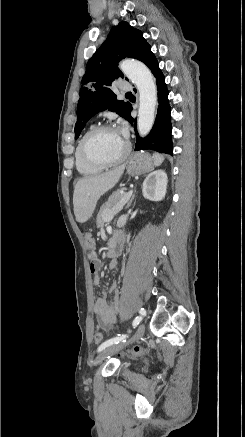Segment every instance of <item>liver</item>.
Here are the masks:
<instances>
[{
	"label": "liver",
	"mask_w": 245,
	"mask_h": 437,
	"mask_svg": "<svg viewBox=\"0 0 245 437\" xmlns=\"http://www.w3.org/2000/svg\"><path fill=\"white\" fill-rule=\"evenodd\" d=\"M125 165L96 176L80 179L73 194V206L76 221L87 222L92 216L100 197L112 189L120 180Z\"/></svg>",
	"instance_id": "6515ba94"
}]
</instances>
